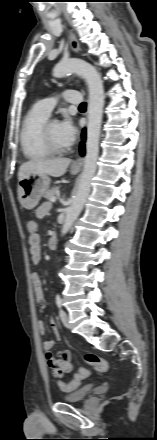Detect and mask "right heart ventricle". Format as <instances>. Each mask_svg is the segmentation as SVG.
Masks as SVG:
<instances>
[{"label": "right heart ventricle", "mask_w": 157, "mask_h": 440, "mask_svg": "<svg viewBox=\"0 0 157 440\" xmlns=\"http://www.w3.org/2000/svg\"><path fill=\"white\" fill-rule=\"evenodd\" d=\"M48 117L36 106L26 113L20 132L21 147L26 157L37 159L51 154L41 136L42 126Z\"/></svg>", "instance_id": "e07e8e85"}]
</instances>
